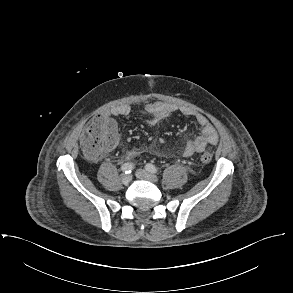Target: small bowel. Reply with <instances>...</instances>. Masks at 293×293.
Returning <instances> with one entry per match:
<instances>
[{
    "mask_svg": "<svg viewBox=\"0 0 293 293\" xmlns=\"http://www.w3.org/2000/svg\"><path fill=\"white\" fill-rule=\"evenodd\" d=\"M143 110L151 117L148 120L150 125H156L168 118L175 112L181 113L186 117H194L196 123L200 127V133L196 135L192 140L188 141L183 147L182 154L185 157H190L196 153L204 151L208 146L218 143V134L214 126L209 122L207 117L200 113H194L189 109H179L174 105L150 102L144 105ZM132 112L131 106L127 104L117 105L103 113V116L111 118L116 116H128ZM118 141V140H117ZM139 155L137 150H129L125 154V159L129 160Z\"/></svg>",
    "mask_w": 293,
    "mask_h": 293,
    "instance_id": "small-bowel-1",
    "label": "small bowel"
}]
</instances>
